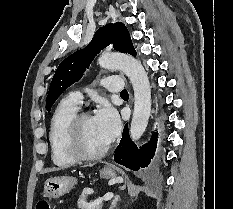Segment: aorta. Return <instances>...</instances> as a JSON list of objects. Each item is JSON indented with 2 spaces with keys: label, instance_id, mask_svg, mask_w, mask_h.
<instances>
[{
  "label": "aorta",
  "instance_id": "obj_1",
  "mask_svg": "<svg viewBox=\"0 0 233 209\" xmlns=\"http://www.w3.org/2000/svg\"><path fill=\"white\" fill-rule=\"evenodd\" d=\"M98 62L105 69L121 70L130 79L134 90L130 137L133 141L139 140L146 130L151 113V87L145 69L132 56L119 53L103 54Z\"/></svg>",
  "mask_w": 233,
  "mask_h": 209
}]
</instances>
